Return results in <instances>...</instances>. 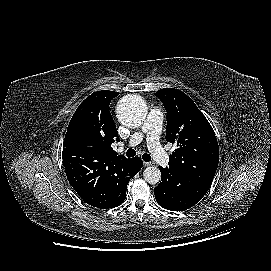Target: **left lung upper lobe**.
I'll return each instance as SVG.
<instances>
[{
	"mask_svg": "<svg viewBox=\"0 0 271 271\" xmlns=\"http://www.w3.org/2000/svg\"><path fill=\"white\" fill-rule=\"evenodd\" d=\"M167 112L166 141L176 143L169 167L210 186L219 162V146L210 123L190 97L178 89L155 93Z\"/></svg>",
	"mask_w": 271,
	"mask_h": 271,
	"instance_id": "obj_1",
	"label": "left lung upper lobe"
}]
</instances>
